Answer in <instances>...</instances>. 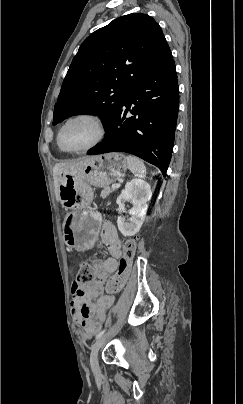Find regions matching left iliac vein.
Wrapping results in <instances>:
<instances>
[{
	"mask_svg": "<svg viewBox=\"0 0 243 404\" xmlns=\"http://www.w3.org/2000/svg\"><path fill=\"white\" fill-rule=\"evenodd\" d=\"M112 333H113V330H110L109 332L103 334L100 338H98L96 340V342L92 346L91 355H90V364H91L92 371L94 373H98V371H99L98 352Z\"/></svg>",
	"mask_w": 243,
	"mask_h": 404,
	"instance_id": "left-iliac-vein-1",
	"label": "left iliac vein"
}]
</instances>
